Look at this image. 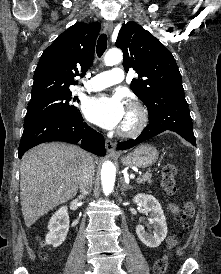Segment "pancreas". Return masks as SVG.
<instances>
[{
  "mask_svg": "<svg viewBox=\"0 0 221 274\" xmlns=\"http://www.w3.org/2000/svg\"><path fill=\"white\" fill-rule=\"evenodd\" d=\"M145 182H147L149 184L152 183L151 174L150 173H146L141 178L137 179V183L138 184H144Z\"/></svg>",
  "mask_w": 221,
  "mask_h": 274,
  "instance_id": "cf45deb5",
  "label": "pancreas"
}]
</instances>
